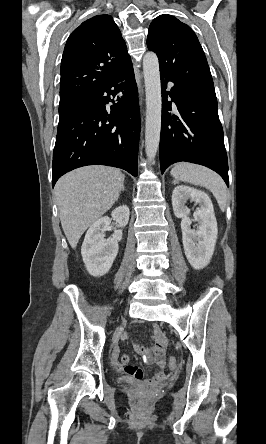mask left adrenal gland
Segmentation results:
<instances>
[{"label": "left adrenal gland", "instance_id": "obj_1", "mask_svg": "<svg viewBox=\"0 0 266 444\" xmlns=\"http://www.w3.org/2000/svg\"><path fill=\"white\" fill-rule=\"evenodd\" d=\"M176 183H177V181H176V180H174V181H173V184H176Z\"/></svg>", "mask_w": 266, "mask_h": 444}]
</instances>
